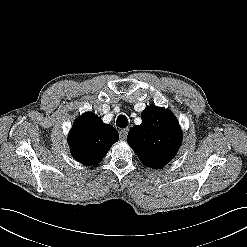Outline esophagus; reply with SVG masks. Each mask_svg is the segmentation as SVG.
Wrapping results in <instances>:
<instances>
[{
  "label": "esophagus",
  "instance_id": "obj_1",
  "mask_svg": "<svg viewBox=\"0 0 247 247\" xmlns=\"http://www.w3.org/2000/svg\"><path fill=\"white\" fill-rule=\"evenodd\" d=\"M129 129L124 128L119 131V136L121 140H126Z\"/></svg>",
  "mask_w": 247,
  "mask_h": 247
}]
</instances>
